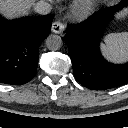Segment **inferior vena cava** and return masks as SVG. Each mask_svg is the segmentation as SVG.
I'll return each mask as SVG.
<instances>
[{
	"mask_svg": "<svg viewBox=\"0 0 128 128\" xmlns=\"http://www.w3.org/2000/svg\"><path fill=\"white\" fill-rule=\"evenodd\" d=\"M52 10V6L46 1H38L35 5V11L41 15L49 14Z\"/></svg>",
	"mask_w": 128,
	"mask_h": 128,
	"instance_id": "obj_1",
	"label": "inferior vena cava"
}]
</instances>
